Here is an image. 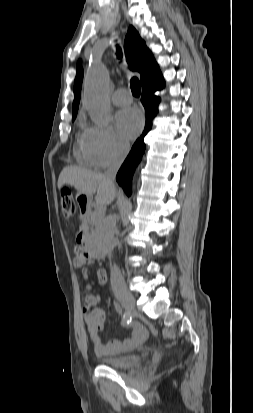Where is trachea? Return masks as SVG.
<instances>
[{
  "instance_id": "1",
  "label": "trachea",
  "mask_w": 253,
  "mask_h": 413,
  "mask_svg": "<svg viewBox=\"0 0 253 413\" xmlns=\"http://www.w3.org/2000/svg\"><path fill=\"white\" fill-rule=\"evenodd\" d=\"M117 56H118L119 59L122 58V53H121V48L120 47H117ZM130 87H131L132 94L134 96H136V97L140 96V94H141V84H140L139 80L136 77L131 78Z\"/></svg>"
}]
</instances>
